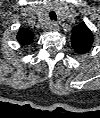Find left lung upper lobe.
I'll return each instance as SVG.
<instances>
[{
  "instance_id": "1",
  "label": "left lung upper lobe",
  "mask_w": 100,
  "mask_h": 118,
  "mask_svg": "<svg viewBox=\"0 0 100 118\" xmlns=\"http://www.w3.org/2000/svg\"><path fill=\"white\" fill-rule=\"evenodd\" d=\"M72 47L78 54L87 53L93 43V34L84 22L72 29Z\"/></svg>"
}]
</instances>
